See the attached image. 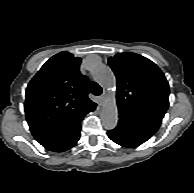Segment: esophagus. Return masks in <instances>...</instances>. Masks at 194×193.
<instances>
[{
    "label": "esophagus",
    "instance_id": "34e87169",
    "mask_svg": "<svg viewBox=\"0 0 194 193\" xmlns=\"http://www.w3.org/2000/svg\"><path fill=\"white\" fill-rule=\"evenodd\" d=\"M104 101H105V96L104 95L101 96V97H99V103H100V105L103 104Z\"/></svg>",
    "mask_w": 194,
    "mask_h": 193
}]
</instances>
